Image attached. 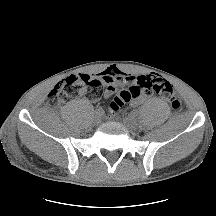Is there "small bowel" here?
<instances>
[{"label": "small bowel", "mask_w": 216, "mask_h": 216, "mask_svg": "<svg viewBox=\"0 0 216 216\" xmlns=\"http://www.w3.org/2000/svg\"><path fill=\"white\" fill-rule=\"evenodd\" d=\"M98 77L104 82L105 90L104 97H110L119 86L124 85H137L140 80L145 78L147 75L134 76L129 73H126L120 70L117 67H110L97 74ZM150 95V92L147 90H141L140 94L131 100L132 106H138L142 104L146 97Z\"/></svg>", "instance_id": "obj_1"}]
</instances>
